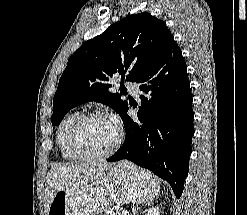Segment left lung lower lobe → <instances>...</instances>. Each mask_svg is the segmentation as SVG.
I'll return each mask as SVG.
<instances>
[{
	"label": "left lung lower lobe",
	"mask_w": 247,
	"mask_h": 215,
	"mask_svg": "<svg viewBox=\"0 0 247 215\" xmlns=\"http://www.w3.org/2000/svg\"><path fill=\"white\" fill-rule=\"evenodd\" d=\"M136 82L148 95L140 97L137 121L128 116V108L121 116L126 138L107 161L127 159L149 169L180 198L189 171L194 114L187 66L174 38Z\"/></svg>",
	"instance_id": "left-lung-lower-lobe-1"
}]
</instances>
